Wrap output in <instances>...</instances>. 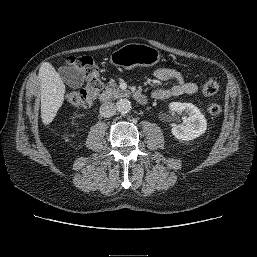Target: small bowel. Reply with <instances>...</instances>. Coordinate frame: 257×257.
<instances>
[{"instance_id": "small-bowel-1", "label": "small bowel", "mask_w": 257, "mask_h": 257, "mask_svg": "<svg viewBox=\"0 0 257 257\" xmlns=\"http://www.w3.org/2000/svg\"><path fill=\"white\" fill-rule=\"evenodd\" d=\"M155 77L163 82L175 80L176 83L169 88L156 89L152 96L159 100H166L179 95H190L198 91L195 82L187 81L182 73L172 68H159L154 72Z\"/></svg>"}]
</instances>
